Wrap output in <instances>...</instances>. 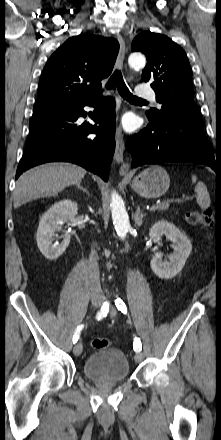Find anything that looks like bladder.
<instances>
[{
  "label": "bladder",
  "instance_id": "bladder-1",
  "mask_svg": "<svg viewBox=\"0 0 221 440\" xmlns=\"http://www.w3.org/2000/svg\"><path fill=\"white\" fill-rule=\"evenodd\" d=\"M83 373L96 382H122L129 376V362L120 349H102L86 359Z\"/></svg>",
  "mask_w": 221,
  "mask_h": 440
}]
</instances>
